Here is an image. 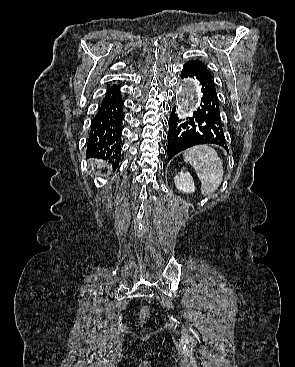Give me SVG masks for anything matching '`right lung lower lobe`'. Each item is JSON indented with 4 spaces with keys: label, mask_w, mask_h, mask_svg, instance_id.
Wrapping results in <instances>:
<instances>
[{
    "label": "right lung lower lobe",
    "mask_w": 295,
    "mask_h": 367,
    "mask_svg": "<svg viewBox=\"0 0 295 367\" xmlns=\"http://www.w3.org/2000/svg\"><path fill=\"white\" fill-rule=\"evenodd\" d=\"M123 100L119 86H112L99 107L91 125L87 155L109 160L118 166L121 152Z\"/></svg>",
    "instance_id": "98d812e1"
}]
</instances>
